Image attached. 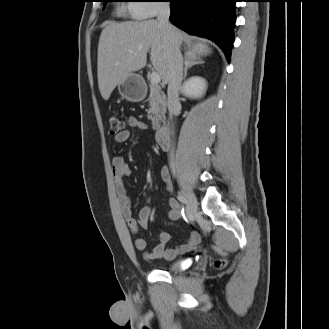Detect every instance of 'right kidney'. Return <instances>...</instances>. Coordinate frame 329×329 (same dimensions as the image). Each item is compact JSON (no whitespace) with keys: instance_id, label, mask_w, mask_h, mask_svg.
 <instances>
[{"instance_id":"right-kidney-1","label":"right kidney","mask_w":329,"mask_h":329,"mask_svg":"<svg viewBox=\"0 0 329 329\" xmlns=\"http://www.w3.org/2000/svg\"><path fill=\"white\" fill-rule=\"evenodd\" d=\"M206 81L202 77L193 76L184 82L181 87L182 93L190 98H200L206 91Z\"/></svg>"}]
</instances>
